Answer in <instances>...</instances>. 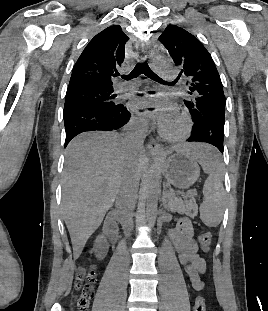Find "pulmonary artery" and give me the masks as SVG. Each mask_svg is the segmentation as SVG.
<instances>
[{"label":"pulmonary artery","instance_id":"1","mask_svg":"<svg viewBox=\"0 0 268 311\" xmlns=\"http://www.w3.org/2000/svg\"><path fill=\"white\" fill-rule=\"evenodd\" d=\"M162 76L166 80L174 79L176 76V71L174 69H167V70L163 71ZM131 86L132 85H128V84H119V85H117L116 88L118 91H123V90L128 89Z\"/></svg>","mask_w":268,"mask_h":311}]
</instances>
